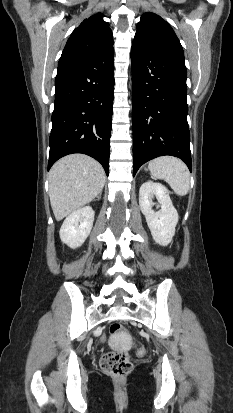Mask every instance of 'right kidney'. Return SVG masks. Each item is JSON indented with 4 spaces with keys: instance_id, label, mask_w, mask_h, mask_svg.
I'll return each instance as SVG.
<instances>
[{
    "instance_id": "obj_1",
    "label": "right kidney",
    "mask_w": 233,
    "mask_h": 413,
    "mask_svg": "<svg viewBox=\"0 0 233 413\" xmlns=\"http://www.w3.org/2000/svg\"><path fill=\"white\" fill-rule=\"evenodd\" d=\"M94 215L91 206L79 208L71 213L61 226V241L73 249L80 247L91 232Z\"/></svg>"
}]
</instances>
